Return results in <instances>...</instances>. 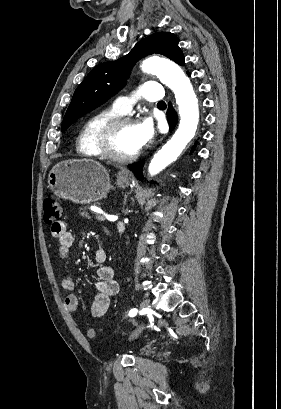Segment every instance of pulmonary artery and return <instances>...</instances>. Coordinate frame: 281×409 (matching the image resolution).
I'll list each match as a JSON object with an SVG mask.
<instances>
[{
  "label": "pulmonary artery",
  "mask_w": 281,
  "mask_h": 409,
  "mask_svg": "<svg viewBox=\"0 0 281 409\" xmlns=\"http://www.w3.org/2000/svg\"><path fill=\"white\" fill-rule=\"evenodd\" d=\"M141 88L137 93L140 99H147L153 103H160L162 101L161 94L163 93V88L159 81H143L141 83ZM133 104V99L131 97H116L114 104V111L118 114H123L127 111V106Z\"/></svg>",
  "instance_id": "pulmonary-artery-1"
}]
</instances>
